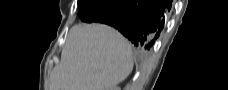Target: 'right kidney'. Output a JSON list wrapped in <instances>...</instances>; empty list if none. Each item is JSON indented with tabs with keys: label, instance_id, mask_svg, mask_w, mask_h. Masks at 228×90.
Wrapping results in <instances>:
<instances>
[{
	"label": "right kidney",
	"instance_id": "right-kidney-1",
	"mask_svg": "<svg viewBox=\"0 0 228 90\" xmlns=\"http://www.w3.org/2000/svg\"><path fill=\"white\" fill-rule=\"evenodd\" d=\"M110 90H120L118 86H114L113 88H110Z\"/></svg>",
	"mask_w": 228,
	"mask_h": 90
}]
</instances>
